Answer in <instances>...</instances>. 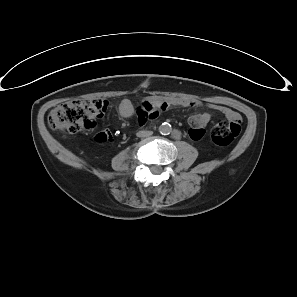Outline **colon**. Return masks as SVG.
<instances>
[{"label": "colon", "mask_w": 297, "mask_h": 297, "mask_svg": "<svg viewBox=\"0 0 297 297\" xmlns=\"http://www.w3.org/2000/svg\"><path fill=\"white\" fill-rule=\"evenodd\" d=\"M108 103L102 99H79L68 101L55 107L48 115V124L54 130L66 131L74 134L84 129H92L98 119L103 117ZM242 119L240 115L232 120L217 123L211 133L212 141L219 146L230 144L241 131ZM110 139L108 133H99L98 142Z\"/></svg>", "instance_id": "1"}]
</instances>
